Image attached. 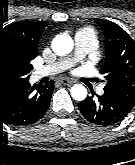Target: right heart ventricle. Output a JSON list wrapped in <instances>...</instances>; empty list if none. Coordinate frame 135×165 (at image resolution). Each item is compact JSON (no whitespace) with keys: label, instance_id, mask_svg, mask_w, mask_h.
Returning <instances> with one entry per match:
<instances>
[{"label":"right heart ventricle","instance_id":"1","mask_svg":"<svg viewBox=\"0 0 135 165\" xmlns=\"http://www.w3.org/2000/svg\"><path fill=\"white\" fill-rule=\"evenodd\" d=\"M78 33H88V34H90L92 39H93V43L95 44V36H94V34H93V32L91 30L85 29V30L79 31Z\"/></svg>","mask_w":135,"mask_h":165}]
</instances>
